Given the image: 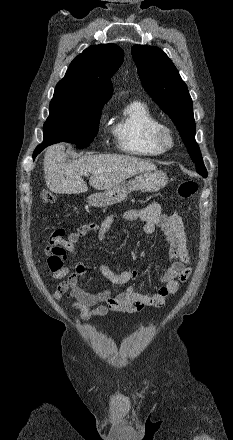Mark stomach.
<instances>
[{
  "instance_id": "0dacf381",
  "label": "stomach",
  "mask_w": 233,
  "mask_h": 440,
  "mask_svg": "<svg viewBox=\"0 0 233 440\" xmlns=\"http://www.w3.org/2000/svg\"><path fill=\"white\" fill-rule=\"evenodd\" d=\"M168 183L167 175L159 170L144 171L129 182L106 189L104 192L95 193L88 197L87 202L91 207L102 208L121 203L133 191L142 190L154 192L162 189Z\"/></svg>"
}]
</instances>
